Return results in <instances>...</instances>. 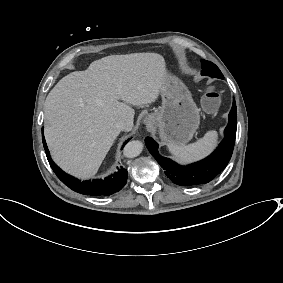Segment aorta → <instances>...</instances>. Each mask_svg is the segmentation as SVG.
Wrapping results in <instances>:
<instances>
[{"label":"aorta","instance_id":"aorta-1","mask_svg":"<svg viewBox=\"0 0 283 283\" xmlns=\"http://www.w3.org/2000/svg\"><path fill=\"white\" fill-rule=\"evenodd\" d=\"M143 150V143L138 140L130 141L126 144L123 154L127 158L137 157Z\"/></svg>","mask_w":283,"mask_h":283}]
</instances>
